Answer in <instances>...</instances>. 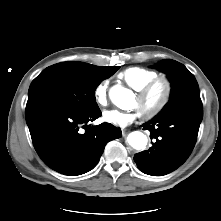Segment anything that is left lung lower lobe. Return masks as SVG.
Returning <instances> with one entry per match:
<instances>
[{"mask_svg": "<svg viewBox=\"0 0 221 221\" xmlns=\"http://www.w3.org/2000/svg\"><path fill=\"white\" fill-rule=\"evenodd\" d=\"M202 117V102H197L144 124L156 142L149 150L135 154L138 168L145 174L162 176L180 167L194 148Z\"/></svg>", "mask_w": 221, "mask_h": 221, "instance_id": "left-lung-lower-lobe-1", "label": "left lung lower lobe"}]
</instances>
